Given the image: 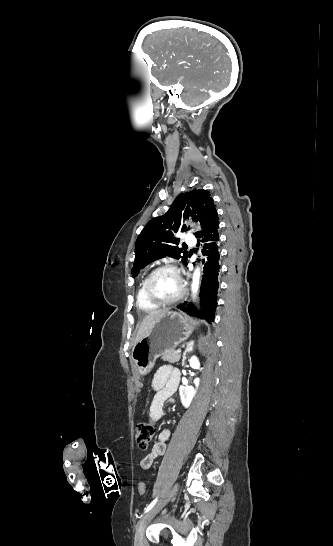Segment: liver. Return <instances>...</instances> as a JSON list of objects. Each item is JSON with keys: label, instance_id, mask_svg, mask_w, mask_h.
<instances>
[{"label": "liver", "instance_id": "obj_1", "mask_svg": "<svg viewBox=\"0 0 333 546\" xmlns=\"http://www.w3.org/2000/svg\"><path fill=\"white\" fill-rule=\"evenodd\" d=\"M168 312H169V309H160V310L152 311L147 316H145L139 326V329L134 341V345L137 342H139L142 338L147 336L150 330L155 325V323L159 321L161 318H163Z\"/></svg>", "mask_w": 333, "mask_h": 546}]
</instances>
